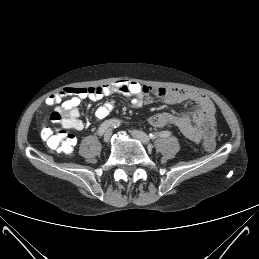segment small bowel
<instances>
[{
  "label": "small bowel",
  "instance_id": "1",
  "mask_svg": "<svg viewBox=\"0 0 259 259\" xmlns=\"http://www.w3.org/2000/svg\"><path fill=\"white\" fill-rule=\"evenodd\" d=\"M119 93L129 99L133 108H139L151 104L156 99H161L168 104H177L191 101L197 105L191 116L178 115L170 112L154 114L149 118V123L156 128L167 125L174 126L189 140L195 143L205 138V126L209 121H214L215 106L206 95L181 89V88H152L131 80H117L115 82L95 86L79 88H63L46 99L49 106H57L64 118L65 127L80 131L84 128V122L80 119L79 106L85 99L97 101L103 97ZM65 99V100H64ZM114 99L106 100L98 106L94 112L96 119L102 120L115 108ZM42 139L46 142L42 131Z\"/></svg>",
  "mask_w": 259,
  "mask_h": 259
}]
</instances>
